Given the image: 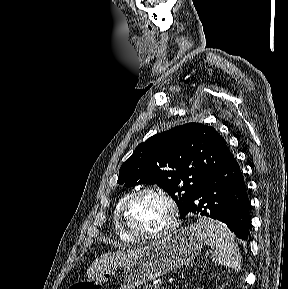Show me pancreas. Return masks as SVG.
Here are the masks:
<instances>
[{
  "label": "pancreas",
  "instance_id": "cf45deb5",
  "mask_svg": "<svg viewBox=\"0 0 288 289\" xmlns=\"http://www.w3.org/2000/svg\"><path fill=\"white\" fill-rule=\"evenodd\" d=\"M143 289H153V286L152 285L145 286Z\"/></svg>",
  "mask_w": 288,
  "mask_h": 289
}]
</instances>
